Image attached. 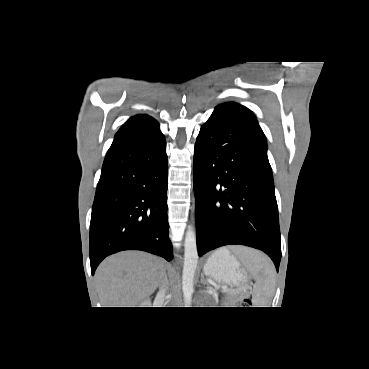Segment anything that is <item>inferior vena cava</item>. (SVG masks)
Segmentation results:
<instances>
[{
  "label": "inferior vena cava",
  "instance_id": "602c4592",
  "mask_svg": "<svg viewBox=\"0 0 369 369\" xmlns=\"http://www.w3.org/2000/svg\"><path fill=\"white\" fill-rule=\"evenodd\" d=\"M160 292H161L162 294H165V288H164V285H162V287H161V289H160Z\"/></svg>",
  "mask_w": 369,
  "mask_h": 369
}]
</instances>
